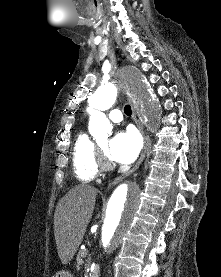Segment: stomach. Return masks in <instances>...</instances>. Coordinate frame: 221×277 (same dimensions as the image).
<instances>
[{
  "label": "stomach",
  "mask_w": 221,
  "mask_h": 277,
  "mask_svg": "<svg viewBox=\"0 0 221 277\" xmlns=\"http://www.w3.org/2000/svg\"><path fill=\"white\" fill-rule=\"evenodd\" d=\"M53 277H73L72 274L68 271L62 270L55 274Z\"/></svg>",
  "instance_id": "stomach-1"
}]
</instances>
